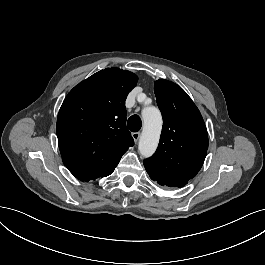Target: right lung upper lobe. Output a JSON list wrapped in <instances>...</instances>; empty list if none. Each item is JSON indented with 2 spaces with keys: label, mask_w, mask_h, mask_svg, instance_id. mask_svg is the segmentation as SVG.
Returning <instances> with one entry per match:
<instances>
[{
  "label": "right lung upper lobe",
  "mask_w": 265,
  "mask_h": 265,
  "mask_svg": "<svg viewBox=\"0 0 265 265\" xmlns=\"http://www.w3.org/2000/svg\"><path fill=\"white\" fill-rule=\"evenodd\" d=\"M137 76L106 68L75 86L57 118V138L66 167L113 170L134 145L126 128L125 100Z\"/></svg>",
  "instance_id": "obj_1"
}]
</instances>
